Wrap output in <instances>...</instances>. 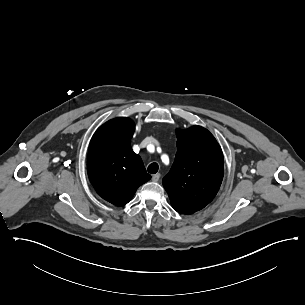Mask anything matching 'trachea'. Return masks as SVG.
Returning <instances> with one entry per match:
<instances>
[{
	"label": "trachea",
	"instance_id": "obj_1",
	"mask_svg": "<svg viewBox=\"0 0 305 305\" xmlns=\"http://www.w3.org/2000/svg\"><path fill=\"white\" fill-rule=\"evenodd\" d=\"M158 169H159V166L157 163H151L149 166H148V172L151 173V174H155L158 172Z\"/></svg>",
	"mask_w": 305,
	"mask_h": 305
}]
</instances>
